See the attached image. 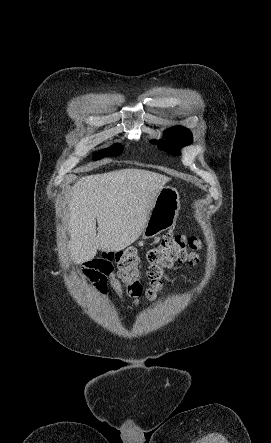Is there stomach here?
<instances>
[{
    "mask_svg": "<svg viewBox=\"0 0 271 443\" xmlns=\"http://www.w3.org/2000/svg\"><path fill=\"white\" fill-rule=\"evenodd\" d=\"M180 196L176 188L164 186L157 194L141 233L142 239L155 237L165 229H171L179 216Z\"/></svg>",
    "mask_w": 271,
    "mask_h": 443,
    "instance_id": "1",
    "label": "stomach"
}]
</instances>
